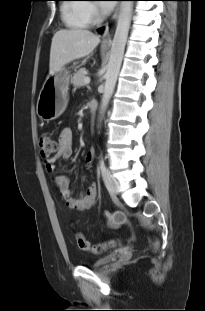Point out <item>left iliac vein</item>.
<instances>
[{"label": "left iliac vein", "mask_w": 205, "mask_h": 311, "mask_svg": "<svg viewBox=\"0 0 205 311\" xmlns=\"http://www.w3.org/2000/svg\"><path fill=\"white\" fill-rule=\"evenodd\" d=\"M103 179L108 192L111 195H115L117 193L118 185L108 170H106L105 174L103 175Z\"/></svg>", "instance_id": "1"}]
</instances>
